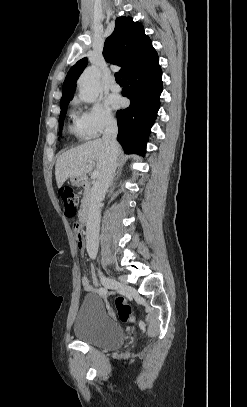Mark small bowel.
I'll list each match as a JSON object with an SVG mask.
<instances>
[{"mask_svg":"<svg viewBox=\"0 0 247 407\" xmlns=\"http://www.w3.org/2000/svg\"><path fill=\"white\" fill-rule=\"evenodd\" d=\"M77 246L80 250L85 249V241L81 229L78 227L76 231ZM82 285L86 291H94V287L90 284L87 276L84 274L82 277Z\"/></svg>","mask_w":247,"mask_h":407,"instance_id":"small-bowel-1","label":"small bowel"}]
</instances>
